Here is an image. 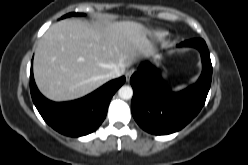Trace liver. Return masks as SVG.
<instances>
[{
	"label": "liver",
	"instance_id": "obj_1",
	"mask_svg": "<svg viewBox=\"0 0 248 165\" xmlns=\"http://www.w3.org/2000/svg\"><path fill=\"white\" fill-rule=\"evenodd\" d=\"M142 24L121 21L92 26L78 19L53 24L34 56L35 82L53 101L81 98L105 84L108 73L125 69L156 50Z\"/></svg>",
	"mask_w": 248,
	"mask_h": 165
}]
</instances>
